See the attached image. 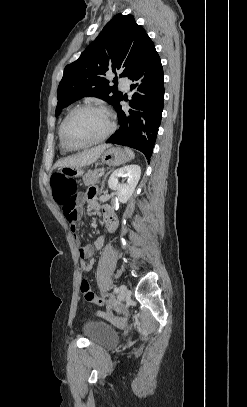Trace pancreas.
<instances>
[{
	"mask_svg": "<svg viewBox=\"0 0 247 407\" xmlns=\"http://www.w3.org/2000/svg\"><path fill=\"white\" fill-rule=\"evenodd\" d=\"M102 171V169H94L93 171H88L83 176V182L86 186L91 184H96L99 182L98 174Z\"/></svg>",
	"mask_w": 247,
	"mask_h": 407,
	"instance_id": "cf45deb5",
	"label": "pancreas"
}]
</instances>
